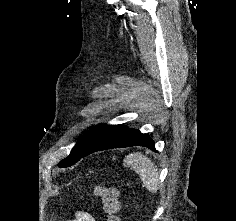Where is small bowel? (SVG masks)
Wrapping results in <instances>:
<instances>
[{
  "label": "small bowel",
  "mask_w": 236,
  "mask_h": 221,
  "mask_svg": "<svg viewBox=\"0 0 236 221\" xmlns=\"http://www.w3.org/2000/svg\"><path fill=\"white\" fill-rule=\"evenodd\" d=\"M75 219L70 221H95L94 217L85 211H77L75 213Z\"/></svg>",
  "instance_id": "obj_1"
}]
</instances>
